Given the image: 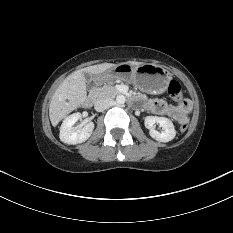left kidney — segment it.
<instances>
[{"label":"left kidney","mask_w":233,"mask_h":233,"mask_svg":"<svg viewBox=\"0 0 233 233\" xmlns=\"http://www.w3.org/2000/svg\"><path fill=\"white\" fill-rule=\"evenodd\" d=\"M160 124L163 131L155 130V124ZM145 127L149 129L150 136L159 142H169L176 136V131L170 119L158 116H147L144 121Z\"/></svg>","instance_id":"1"}]
</instances>
